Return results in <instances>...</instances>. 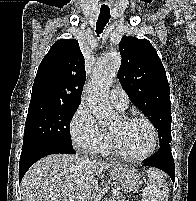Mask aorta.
<instances>
[{
  "mask_svg": "<svg viewBox=\"0 0 196 201\" xmlns=\"http://www.w3.org/2000/svg\"><path fill=\"white\" fill-rule=\"evenodd\" d=\"M121 65L118 52H110L97 60L92 74L86 100L97 120L109 123L116 119L117 114L111 107L108 96L113 79Z\"/></svg>",
  "mask_w": 196,
  "mask_h": 201,
  "instance_id": "aorta-1",
  "label": "aorta"
}]
</instances>
